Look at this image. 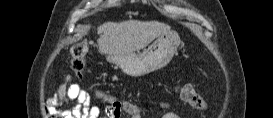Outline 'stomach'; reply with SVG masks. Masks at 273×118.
<instances>
[{
    "label": "stomach",
    "instance_id": "1",
    "mask_svg": "<svg viewBox=\"0 0 273 118\" xmlns=\"http://www.w3.org/2000/svg\"><path fill=\"white\" fill-rule=\"evenodd\" d=\"M181 40L177 32L160 34L156 40L142 52L123 55H108L107 60L128 76L140 77L165 67L173 58Z\"/></svg>",
    "mask_w": 273,
    "mask_h": 118
}]
</instances>
